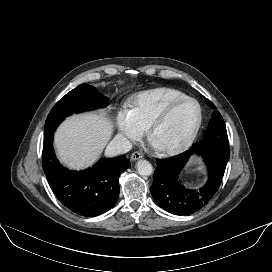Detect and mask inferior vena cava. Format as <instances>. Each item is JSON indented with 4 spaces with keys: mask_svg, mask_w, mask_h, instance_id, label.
Masks as SVG:
<instances>
[{
    "mask_svg": "<svg viewBox=\"0 0 272 272\" xmlns=\"http://www.w3.org/2000/svg\"><path fill=\"white\" fill-rule=\"evenodd\" d=\"M131 148V142L122 135L118 134L106 147L105 154L108 157H114L129 152Z\"/></svg>",
    "mask_w": 272,
    "mask_h": 272,
    "instance_id": "obj_1",
    "label": "inferior vena cava"
}]
</instances>
